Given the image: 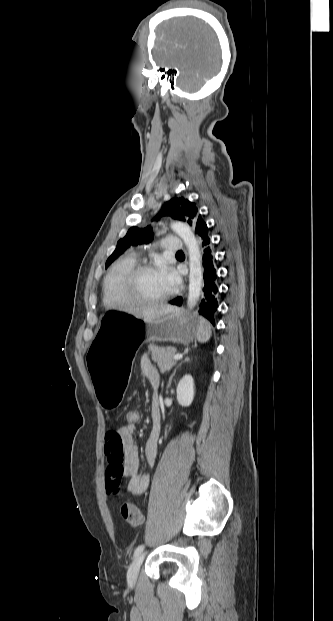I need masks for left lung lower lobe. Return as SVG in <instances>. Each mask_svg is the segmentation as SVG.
Here are the masks:
<instances>
[{
  "instance_id": "0a47b994",
  "label": "left lung lower lobe",
  "mask_w": 333,
  "mask_h": 621,
  "mask_svg": "<svg viewBox=\"0 0 333 621\" xmlns=\"http://www.w3.org/2000/svg\"><path fill=\"white\" fill-rule=\"evenodd\" d=\"M197 241L202 250L203 279H204V297L200 304L199 313L207 318L213 325L215 324L214 314L218 307V286L216 260L211 247V241L208 236V227L204 224L201 228L196 229ZM173 305L180 306L182 297H177L171 302Z\"/></svg>"
}]
</instances>
